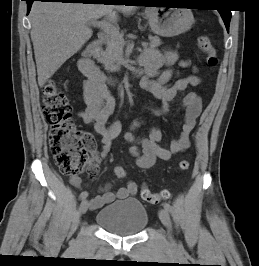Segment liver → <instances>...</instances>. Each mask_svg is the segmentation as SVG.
Segmentation results:
<instances>
[{"label": "liver", "instance_id": "obj_1", "mask_svg": "<svg viewBox=\"0 0 259 266\" xmlns=\"http://www.w3.org/2000/svg\"><path fill=\"white\" fill-rule=\"evenodd\" d=\"M134 6L34 2L30 12L31 40L38 85L46 81L91 38L92 20L106 16L117 22V11L130 14Z\"/></svg>", "mask_w": 259, "mask_h": 266}]
</instances>
